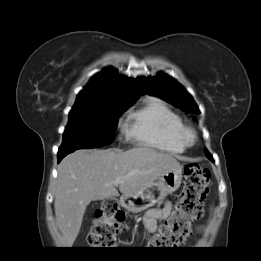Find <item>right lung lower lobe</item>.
<instances>
[{"label": "right lung lower lobe", "instance_id": "1", "mask_svg": "<svg viewBox=\"0 0 261 261\" xmlns=\"http://www.w3.org/2000/svg\"><path fill=\"white\" fill-rule=\"evenodd\" d=\"M67 154H69V152H63V153H59V152H58V162H60L61 159H62L63 157H65Z\"/></svg>", "mask_w": 261, "mask_h": 261}]
</instances>
